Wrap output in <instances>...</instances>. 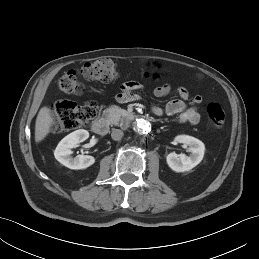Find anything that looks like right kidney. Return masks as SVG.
<instances>
[{
	"mask_svg": "<svg viewBox=\"0 0 259 259\" xmlns=\"http://www.w3.org/2000/svg\"><path fill=\"white\" fill-rule=\"evenodd\" d=\"M89 137V132L84 129L76 130L65 136L57 145L54 156L64 166L70 169H85L95 162V158L89 155H77L72 157V148L85 141Z\"/></svg>",
	"mask_w": 259,
	"mask_h": 259,
	"instance_id": "ca27d5eb",
	"label": "right kidney"
}]
</instances>
